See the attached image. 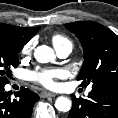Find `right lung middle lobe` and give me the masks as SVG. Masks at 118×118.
I'll use <instances>...</instances> for the list:
<instances>
[{"instance_id": "1", "label": "right lung middle lobe", "mask_w": 118, "mask_h": 118, "mask_svg": "<svg viewBox=\"0 0 118 118\" xmlns=\"http://www.w3.org/2000/svg\"><path fill=\"white\" fill-rule=\"evenodd\" d=\"M26 43L21 38L0 33V86L9 82L11 69L18 66V53Z\"/></svg>"}]
</instances>
